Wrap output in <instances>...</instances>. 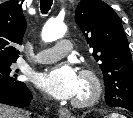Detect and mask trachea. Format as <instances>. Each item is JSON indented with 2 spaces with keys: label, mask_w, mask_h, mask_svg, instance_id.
<instances>
[{
  "label": "trachea",
  "mask_w": 133,
  "mask_h": 118,
  "mask_svg": "<svg viewBox=\"0 0 133 118\" xmlns=\"http://www.w3.org/2000/svg\"><path fill=\"white\" fill-rule=\"evenodd\" d=\"M53 0H41L40 9L43 14H47L52 6Z\"/></svg>",
  "instance_id": "obj_1"
}]
</instances>
